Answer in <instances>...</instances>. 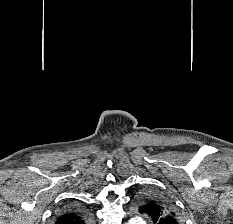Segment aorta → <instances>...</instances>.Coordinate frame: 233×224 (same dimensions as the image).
I'll return each mask as SVG.
<instances>
[{"instance_id": "762f6f07", "label": "aorta", "mask_w": 233, "mask_h": 224, "mask_svg": "<svg viewBox=\"0 0 233 224\" xmlns=\"http://www.w3.org/2000/svg\"><path fill=\"white\" fill-rule=\"evenodd\" d=\"M127 224H146V223L141 217H133L128 221Z\"/></svg>"}]
</instances>
